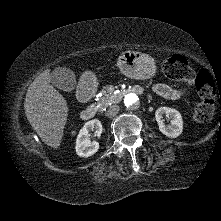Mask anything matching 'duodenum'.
Listing matches in <instances>:
<instances>
[{"label": "duodenum", "instance_id": "410a0bca", "mask_svg": "<svg viewBox=\"0 0 221 221\" xmlns=\"http://www.w3.org/2000/svg\"><path fill=\"white\" fill-rule=\"evenodd\" d=\"M97 92V86L91 81H87L82 83L77 91V97L82 102L89 101ZM126 91L125 93H128ZM132 92H138V90L133 89ZM97 113V109L95 106H88L81 112V118L83 120L92 119Z\"/></svg>", "mask_w": 221, "mask_h": 221}]
</instances>
